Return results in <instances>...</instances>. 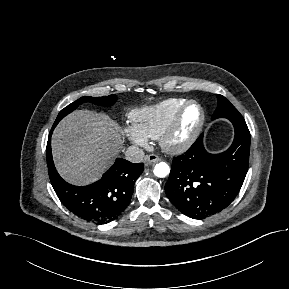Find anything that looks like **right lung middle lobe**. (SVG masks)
<instances>
[{"instance_id": "obj_1", "label": "right lung middle lobe", "mask_w": 289, "mask_h": 289, "mask_svg": "<svg viewBox=\"0 0 289 289\" xmlns=\"http://www.w3.org/2000/svg\"><path fill=\"white\" fill-rule=\"evenodd\" d=\"M116 101H117V96L115 95H109L107 97H89V96L82 97L76 100L75 102L71 103L64 109H62L60 113L58 114L53 126H56L63 117L71 113L79 105L85 102H91L100 106H112L115 104Z\"/></svg>"}]
</instances>
